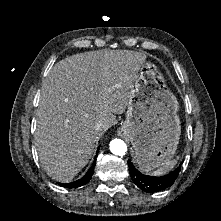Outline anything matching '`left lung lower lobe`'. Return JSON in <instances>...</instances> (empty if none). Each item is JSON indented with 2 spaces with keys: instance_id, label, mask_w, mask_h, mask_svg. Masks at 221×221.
Here are the masks:
<instances>
[{
  "instance_id": "1",
  "label": "left lung lower lobe",
  "mask_w": 221,
  "mask_h": 221,
  "mask_svg": "<svg viewBox=\"0 0 221 221\" xmlns=\"http://www.w3.org/2000/svg\"><path fill=\"white\" fill-rule=\"evenodd\" d=\"M128 164H129L130 175L134 183L141 190L148 192V193L158 192V191H161L163 189L170 187L176 180L181 170V165H179L178 168H176L174 171L170 172L167 175L160 176V177H153V176L143 175L142 173H140L133 166L130 160L128 161Z\"/></svg>"
}]
</instances>
